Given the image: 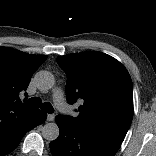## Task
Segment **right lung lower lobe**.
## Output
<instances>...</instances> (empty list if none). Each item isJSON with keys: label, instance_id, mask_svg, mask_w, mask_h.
Masks as SVG:
<instances>
[{"label": "right lung lower lobe", "instance_id": "1", "mask_svg": "<svg viewBox=\"0 0 156 156\" xmlns=\"http://www.w3.org/2000/svg\"><path fill=\"white\" fill-rule=\"evenodd\" d=\"M47 118V114L36 110L32 115L22 120H11L0 126V156L14 150L22 137L32 128L41 124Z\"/></svg>", "mask_w": 156, "mask_h": 156}]
</instances>
